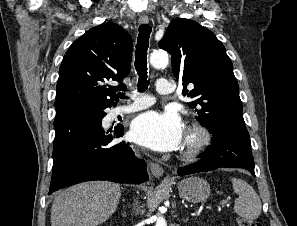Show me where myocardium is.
<instances>
[{
    "label": "myocardium",
    "mask_w": 297,
    "mask_h": 226,
    "mask_svg": "<svg viewBox=\"0 0 297 226\" xmlns=\"http://www.w3.org/2000/svg\"><path fill=\"white\" fill-rule=\"evenodd\" d=\"M212 141L210 131L200 123H191L186 128L184 148L181 159L187 162L195 161L209 147Z\"/></svg>",
    "instance_id": "1"
}]
</instances>
